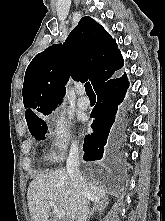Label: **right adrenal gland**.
<instances>
[{
    "mask_svg": "<svg viewBox=\"0 0 165 221\" xmlns=\"http://www.w3.org/2000/svg\"><path fill=\"white\" fill-rule=\"evenodd\" d=\"M107 205H108V202H107L106 198L95 202V204H94V206H93V208H92V210H91V212L88 216V219H90L96 211H99L100 214H103V211H104V209L106 208Z\"/></svg>",
    "mask_w": 165,
    "mask_h": 221,
    "instance_id": "1",
    "label": "right adrenal gland"
}]
</instances>
